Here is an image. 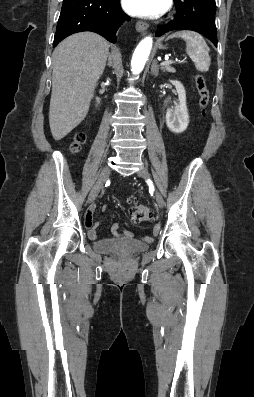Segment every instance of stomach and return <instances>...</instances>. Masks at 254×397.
Returning a JSON list of instances; mask_svg holds the SVG:
<instances>
[{"label": "stomach", "mask_w": 254, "mask_h": 397, "mask_svg": "<svg viewBox=\"0 0 254 397\" xmlns=\"http://www.w3.org/2000/svg\"><path fill=\"white\" fill-rule=\"evenodd\" d=\"M158 47H159V48H162V45H161V44H158Z\"/></svg>", "instance_id": "obj_1"}]
</instances>
